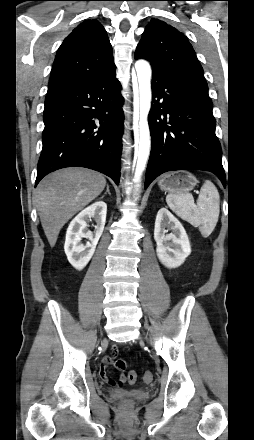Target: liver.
<instances>
[{
	"mask_svg": "<svg viewBox=\"0 0 254 440\" xmlns=\"http://www.w3.org/2000/svg\"><path fill=\"white\" fill-rule=\"evenodd\" d=\"M105 177L96 171L70 167L47 175L35 190V202L51 247L62 227L104 190Z\"/></svg>",
	"mask_w": 254,
	"mask_h": 440,
	"instance_id": "6515ba94",
	"label": "liver"
}]
</instances>
